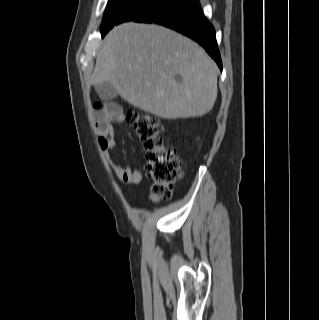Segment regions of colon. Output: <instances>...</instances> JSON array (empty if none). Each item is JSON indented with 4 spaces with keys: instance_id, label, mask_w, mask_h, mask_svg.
I'll list each match as a JSON object with an SVG mask.
<instances>
[{
    "instance_id": "colon-1",
    "label": "colon",
    "mask_w": 319,
    "mask_h": 320,
    "mask_svg": "<svg viewBox=\"0 0 319 320\" xmlns=\"http://www.w3.org/2000/svg\"><path fill=\"white\" fill-rule=\"evenodd\" d=\"M127 121L144 144L146 169L152 181V199L170 198L176 181L183 176L181 156L176 148L165 144L162 125L154 116L133 111L127 114Z\"/></svg>"
}]
</instances>
